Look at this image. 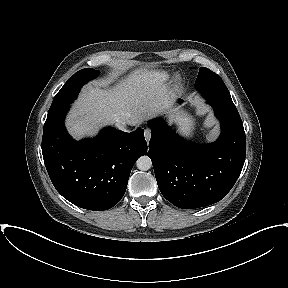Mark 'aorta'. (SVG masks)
Here are the masks:
<instances>
[{"label":"aorta","mask_w":288,"mask_h":288,"mask_svg":"<svg viewBox=\"0 0 288 288\" xmlns=\"http://www.w3.org/2000/svg\"><path fill=\"white\" fill-rule=\"evenodd\" d=\"M136 166L141 171H147L152 166L151 159L148 156L143 155L137 159Z\"/></svg>","instance_id":"aorta-1"}]
</instances>
